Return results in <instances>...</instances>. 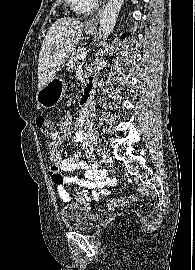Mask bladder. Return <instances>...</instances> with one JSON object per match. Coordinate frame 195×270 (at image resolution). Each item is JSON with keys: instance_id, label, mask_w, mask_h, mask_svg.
I'll return each mask as SVG.
<instances>
[{"instance_id": "1", "label": "bladder", "mask_w": 195, "mask_h": 270, "mask_svg": "<svg viewBox=\"0 0 195 270\" xmlns=\"http://www.w3.org/2000/svg\"><path fill=\"white\" fill-rule=\"evenodd\" d=\"M64 226L72 231H90L99 220V212L88 204H70L61 209Z\"/></svg>"}]
</instances>
